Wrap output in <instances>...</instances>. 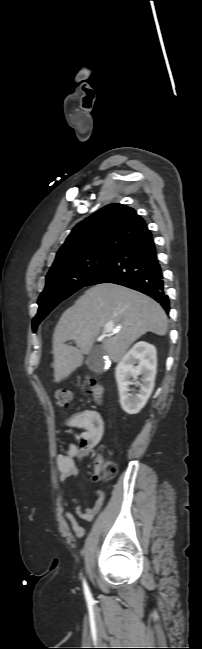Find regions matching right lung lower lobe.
<instances>
[{
    "label": "right lung lower lobe",
    "instance_id": "98d812e1",
    "mask_svg": "<svg viewBox=\"0 0 202 649\" xmlns=\"http://www.w3.org/2000/svg\"><path fill=\"white\" fill-rule=\"evenodd\" d=\"M99 283H115L140 291L155 299L169 313L170 302L150 232L117 252L85 286Z\"/></svg>",
    "mask_w": 202,
    "mask_h": 649
}]
</instances>
